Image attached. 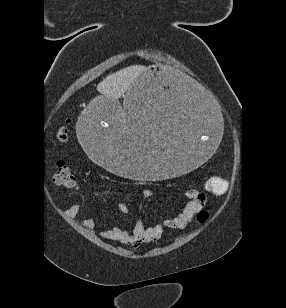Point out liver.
Returning a JSON list of instances; mask_svg holds the SVG:
<instances>
[{"instance_id": "obj_1", "label": "liver", "mask_w": 286, "mask_h": 308, "mask_svg": "<svg viewBox=\"0 0 286 308\" xmlns=\"http://www.w3.org/2000/svg\"><path fill=\"white\" fill-rule=\"evenodd\" d=\"M144 70V66L135 65L109 74L102 82L98 84L97 90L106 100L117 102L120 97L125 98V93ZM125 116V112H122L121 115L118 116L119 122L122 125L126 124Z\"/></svg>"}]
</instances>
